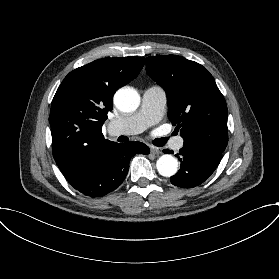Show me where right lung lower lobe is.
Wrapping results in <instances>:
<instances>
[{
  "label": "right lung lower lobe",
  "mask_w": 279,
  "mask_h": 279,
  "mask_svg": "<svg viewBox=\"0 0 279 279\" xmlns=\"http://www.w3.org/2000/svg\"><path fill=\"white\" fill-rule=\"evenodd\" d=\"M149 152V147L140 142L116 143L109 148L102 164L94 172L72 186L89 197L108 194L124 181L132 156Z\"/></svg>",
  "instance_id": "right-lung-lower-lobe-1"
}]
</instances>
